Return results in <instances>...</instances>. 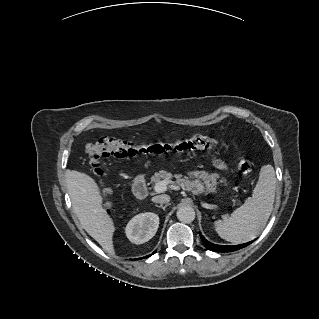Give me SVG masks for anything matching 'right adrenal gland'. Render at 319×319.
<instances>
[{
	"instance_id": "1",
	"label": "right adrenal gland",
	"mask_w": 319,
	"mask_h": 319,
	"mask_svg": "<svg viewBox=\"0 0 319 319\" xmlns=\"http://www.w3.org/2000/svg\"><path fill=\"white\" fill-rule=\"evenodd\" d=\"M155 206L158 207V208H162L163 210H165V208H166L167 206H169V204H166V205H164V206H163L162 204H161V205L155 204Z\"/></svg>"
}]
</instances>
